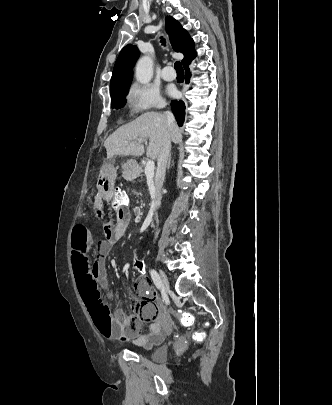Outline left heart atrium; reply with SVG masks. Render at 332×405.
Masks as SVG:
<instances>
[{"label":"left heart atrium","instance_id":"39dd6f15","mask_svg":"<svg viewBox=\"0 0 332 405\" xmlns=\"http://www.w3.org/2000/svg\"><path fill=\"white\" fill-rule=\"evenodd\" d=\"M167 92H168L170 95H173V94L175 93V90H174L172 87H169V88L167 89Z\"/></svg>","mask_w":332,"mask_h":405}]
</instances>
